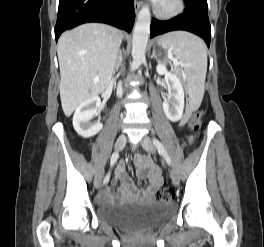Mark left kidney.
I'll return each instance as SVG.
<instances>
[{
	"instance_id": "left-kidney-1",
	"label": "left kidney",
	"mask_w": 264,
	"mask_h": 247,
	"mask_svg": "<svg viewBox=\"0 0 264 247\" xmlns=\"http://www.w3.org/2000/svg\"><path fill=\"white\" fill-rule=\"evenodd\" d=\"M156 72L165 76L168 88V99L163 102V110L167 118L177 122L182 118L184 110V89L179 77L169 72L163 63H158Z\"/></svg>"
}]
</instances>
